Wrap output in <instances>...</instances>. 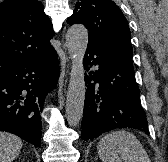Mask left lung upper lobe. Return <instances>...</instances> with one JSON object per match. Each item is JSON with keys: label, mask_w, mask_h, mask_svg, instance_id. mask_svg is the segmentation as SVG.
<instances>
[{"label": "left lung upper lobe", "mask_w": 168, "mask_h": 162, "mask_svg": "<svg viewBox=\"0 0 168 162\" xmlns=\"http://www.w3.org/2000/svg\"><path fill=\"white\" fill-rule=\"evenodd\" d=\"M88 29L89 42L108 50L132 65V45L128 22L120 8L111 0H79L67 19Z\"/></svg>", "instance_id": "1"}]
</instances>
